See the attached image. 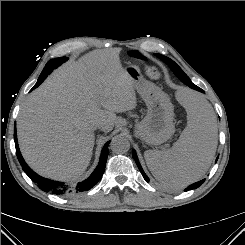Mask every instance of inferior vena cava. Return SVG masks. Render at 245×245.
<instances>
[{
	"mask_svg": "<svg viewBox=\"0 0 245 245\" xmlns=\"http://www.w3.org/2000/svg\"><path fill=\"white\" fill-rule=\"evenodd\" d=\"M104 125L102 123H99L95 126L96 129H102Z\"/></svg>",
	"mask_w": 245,
	"mask_h": 245,
	"instance_id": "1",
	"label": "inferior vena cava"
}]
</instances>
